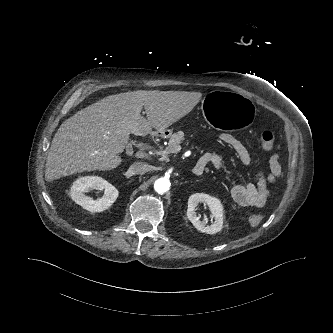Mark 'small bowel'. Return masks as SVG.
Segmentation results:
<instances>
[{
	"label": "small bowel",
	"mask_w": 333,
	"mask_h": 333,
	"mask_svg": "<svg viewBox=\"0 0 333 333\" xmlns=\"http://www.w3.org/2000/svg\"><path fill=\"white\" fill-rule=\"evenodd\" d=\"M219 139L222 143L229 146L237 155L240 162L245 166H250L252 157L247 147L235 136L230 133H221ZM197 163L203 165V171L208 164L213 165L219 171L231 176L222 158L216 152L205 154ZM269 173L265 174L262 170H256V182L248 184L234 183L231 188L233 199L243 206L263 207L271 196L268 184L274 183L281 175V165L276 155L269 160Z\"/></svg>",
	"instance_id": "1"
}]
</instances>
